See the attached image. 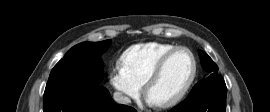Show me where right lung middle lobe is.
<instances>
[{"label": "right lung middle lobe", "instance_id": "right-lung-middle-lobe-1", "mask_svg": "<svg viewBox=\"0 0 270 112\" xmlns=\"http://www.w3.org/2000/svg\"><path fill=\"white\" fill-rule=\"evenodd\" d=\"M110 44L111 40H105L75 45L52 69L46 86L64 82L76 85H98L103 75L99 58Z\"/></svg>", "mask_w": 270, "mask_h": 112}]
</instances>
